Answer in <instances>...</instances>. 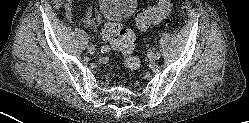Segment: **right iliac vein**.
<instances>
[{
    "label": "right iliac vein",
    "mask_w": 249,
    "mask_h": 123,
    "mask_svg": "<svg viewBox=\"0 0 249 123\" xmlns=\"http://www.w3.org/2000/svg\"><path fill=\"white\" fill-rule=\"evenodd\" d=\"M87 50H88L89 53L94 54L95 51H96V48H95L94 45H89V46L87 47Z\"/></svg>",
    "instance_id": "63e3f726"
}]
</instances>
